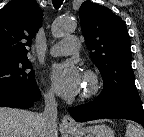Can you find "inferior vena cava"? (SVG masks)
Segmentation results:
<instances>
[{"instance_id": "inferior-vena-cava-1", "label": "inferior vena cava", "mask_w": 144, "mask_h": 137, "mask_svg": "<svg viewBox=\"0 0 144 137\" xmlns=\"http://www.w3.org/2000/svg\"><path fill=\"white\" fill-rule=\"evenodd\" d=\"M45 110L41 114V137H54L57 128V102L53 93L44 95Z\"/></svg>"}]
</instances>
